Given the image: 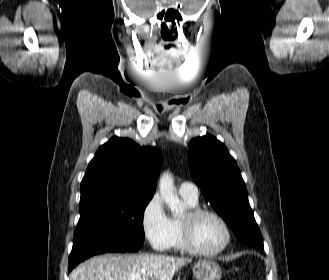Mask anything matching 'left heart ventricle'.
Returning <instances> with one entry per match:
<instances>
[{"instance_id":"b2bd125f","label":"left heart ventricle","mask_w":329,"mask_h":280,"mask_svg":"<svg viewBox=\"0 0 329 280\" xmlns=\"http://www.w3.org/2000/svg\"><path fill=\"white\" fill-rule=\"evenodd\" d=\"M194 239L201 249L214 251L224 243L225 231L215 218L202 216L194 225Z\"/></svg>"}]
</instances>
